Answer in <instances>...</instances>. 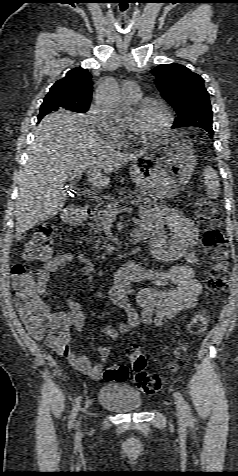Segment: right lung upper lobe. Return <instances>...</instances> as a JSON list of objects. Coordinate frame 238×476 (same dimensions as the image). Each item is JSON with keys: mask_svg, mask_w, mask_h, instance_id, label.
<instances>
[{"mask_svg": "<svg viewBox=\"0 0 238 476\" xmlns=\"http://www.w3.org/2000/svg\"><path fill=\"white\" fill-rule=\"evenodd\" d=\"M57 96L59 99H51ZM92 98L91 74L87 69L76 67L63 79L56 81L50 88L44 101L58 104L62 110H69L72 106H89Z\"/></svg>", "mask_w": 238, "mask_h": 476, "instance_id": "1", "label": "right lung upper lobe"}]
</instances>
